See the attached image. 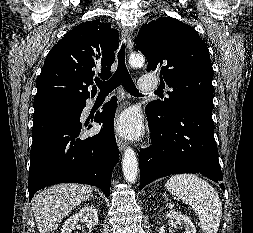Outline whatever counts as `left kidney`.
Returning <instances> with one entry per match:
<instances>
[{"mask_svg":"<svg viewBox=\"0 0 253 233\" xmlns=\"http://www.w3.org/2000/svg\"><path fill=\"white\" fill-rule=\"evenodd\" d=\"M166 219L176 220L179 226L185 229L184 233H196V228L190 218L184 214H181L175 210H171L166 213Z\"/></svg>","mask_w":253,"mask_h":233,"instance_id":"5707ae66","label":"left kidney"}]
</instances>
